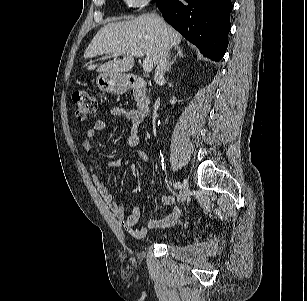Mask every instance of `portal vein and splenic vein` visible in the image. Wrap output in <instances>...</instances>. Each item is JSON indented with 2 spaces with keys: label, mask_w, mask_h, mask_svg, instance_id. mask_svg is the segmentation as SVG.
<instances>
[{
  "label": "portal vein and splenic vein",
  "mask_w": 307,
  "mask_h": 301,
  "mask_svg": "<svg viewBox=\"0 0 307 301\" xmlns=\"http://www.w3.org/2000/svg\"><path fill=\"white\" fill-rule=\"evenodd\" d=\"M132 55H134V56H137V57H142L144 54H143V52L142 51H134V52H132L131 53ZM118 55H120V53H118V52H115L114 54H113V56H118ZM143 70L145 71V72H150V71H152V68H153V62H152V60L151 59H149V58H145L144 60H143Z\"/></svg>",
  "instance_id": "18ae733b"
}]
</instances>
